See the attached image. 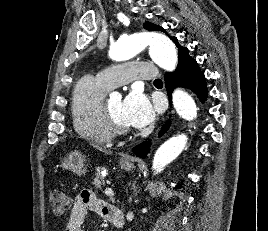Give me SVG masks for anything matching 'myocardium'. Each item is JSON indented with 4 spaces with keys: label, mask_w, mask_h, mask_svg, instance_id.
<instances>
[{
    "label": "myocardium",
    "mask_w": 268,
    "mask_h": 231,
    "mask_svg": "<svg viewBox=\"0 0 268 231\" xmlns=\"http://www.w3.org/2000/svg\"><path fill=\"white\" fill-rule=\"evenodd\" d=\"M104 112L108 122V125L114 135L127 136L133 133V130L129 127L122 125L116 117L113 115L108 103H104Z\"/></svg>",
    "instance_id": "f54148a6"
}]
</instances>
